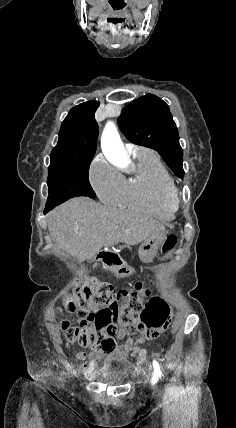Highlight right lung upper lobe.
<instances>
[{"instance_id":"right-lung-upper-lobe-1","label":"right lung upper lobe","mask_w":236,"mask_h":428,"mask_svg":"<svg viewBox=\"0 0 236 428\" xmlns=\"http://www.w3.org/2000/svg\"><path fill=\"white\" fill-rule=\"evenodd\" d=\"M98 106V101H89L70 110L61 125L58 143L50 155L51 160L74 161L93 158L99 131L94 118Z\"/></svg>"}]
</instances>
